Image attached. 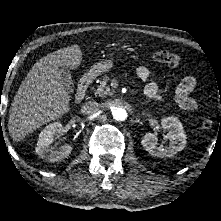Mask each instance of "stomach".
<instances>
[{"label":"stomach","instance_id":"1","mask_svg":"<svg viewBox=\"0 0 221 221\" xmlns=\"http://www.w3.org/2000/svg\"><path fill=\"white\" fill-rule=\"evenodd\" d=\"M113 66V62L111 60H104L95 63L89 70V75L91 77H97L102 73L109 71Z\"/></svg>","mask_w":221,"mask_h":221}]
</instances>
